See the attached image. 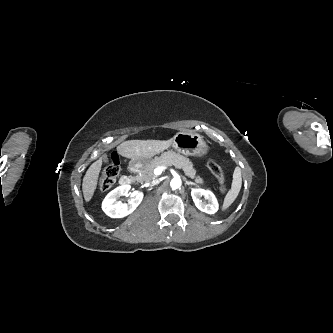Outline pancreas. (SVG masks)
I'll use <instances>...</instances> for the list:
<instances>
[{
	"label": "pancreas",
	"mask_w": 333,
	"mask_h": 333,
	"mask_svg": "<svg viewBox=\"0 0 333 333\" xmlns=\"http://www.w3.org/2000/svg\"><path fill=\"white\" fill-rule=\"evenodd\" d=\"M175 166L177 169H182L186 176L193 179L198 184H203L204 180L196 175V170L193 167L192 161L180 155L179 153L168 151L163 153L160 157H155L144 166L140 174L137 176V181L140 183L151 182L157 176L154 174L155 168L158 166Z\"/></svg>",
	"instance_id": "pancreas-1"
}]
</instances>
